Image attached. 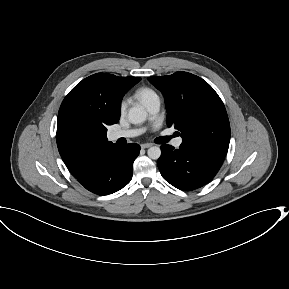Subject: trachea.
I'll return each instance as SVG.
<instances>
[{
    "label": "trachea",
    "mask_w": 289,
    "mask_h": 289,
    "mask_svg": "<svg viewBox=\"0 0 289 289\" xmlns=\"http://www.w3.org/2000/svg\"><path fill=\"white\" fill-rule=\"evenodd\" d=\"M171 137L165 136L161 138V143H167Z\"/></svg>",
    "instance_id": "1"
}]
</instances>
